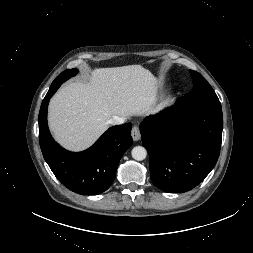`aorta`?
<instances>
[{
  "label": "aorta",
  "mask_w": 253,
  "mask_h": 253,
  "mask_svg": "<svg viewBox=\"0 0 253 253\" xmlns=\"http://www.w3.org/2000/svg\"><path fill=\"white\" fill-rule=\"evenodd\" d=\"M132 157L137 161H142L147 156V151L142 146H136L131 151Z\"/></svg>",
  "instance_id": "762f6f07"
}]
</instances>
